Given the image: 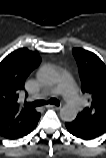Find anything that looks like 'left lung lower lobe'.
I'll use <instances>...</instances> for the list:
<instances>
[{
	"mask_svg": "<svg viewBox=\"0 0 106 158\" xmlns=\"http://www.w3.org/2000/svg\"><path fill=\"white\" fill-rule=\"evenodd\" d=\"M65 126L67 128V130L73 134L74 136L78 137V138H82V139H89L86 136H84L83 134H81L75 127H73L70 123H65Z\"/></svg>",
	"mask_w": 106,
	"mask_h": 158,
	"instance_id": "0a47b994",
	"label": "left lung lower lobe"
}]
</instances>
